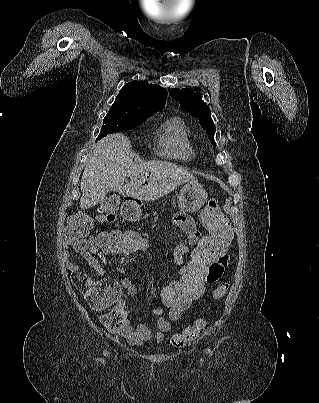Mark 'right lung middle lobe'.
<instances>
[{
	"label": "right lung middle lobe",
	"instance_id": "1",
	"mask_svg": "<svg viewBox=\"0 0 319 403\" xmlns=\"http://www.w3.org/2000/svg\"><path fill=\"white\" fill-rule=\"evenodd\" d=\"M148 117L132 116L124 111L111 109L103 119L101 132L96 140L105 137L108 134L127 131L141 124Z\"/></svg>",
	"mask_w": 319,
	"mask_h": 403
}]
</instances>
